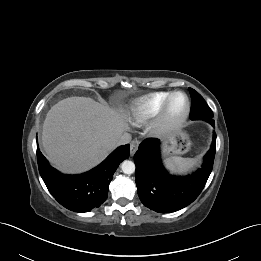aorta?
I'll return each mask as SVG.
<instances>
[{"label": "aorta", "instance_id": "aorta-1", "mask_svg": "<svg viewBox=\"0 0 261 261\" xmlns=\"http://www.w3.org/2000/svg\"><path fill=\"white\" fill-rule=\"evenodd\" d=\"M122 172L125 174H133L135 172V164L132 161L125 160L121 164Z\"/></svg>", "mask_w": 261, "mask_h": 261}]
</instances>
